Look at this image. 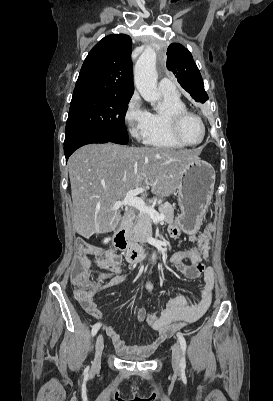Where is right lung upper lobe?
<instances>
[{
	"label": "right lung upper lobe",
	"mask_w": 273,
	"mask_h": 401,
	"mask_svg": "<svg viewBox=\"0 0 273 401\" xmlns=\"http://www.w3.org/2000/svg\"><path fill=\"white\" fill-rule=\"evenodd\" d=\"M132 41L128 35L104 37L86 57L73 96L94 94L132 97Z\"/></svg>",
	"instance_id": "cb5924a9"
}]
</instances>
